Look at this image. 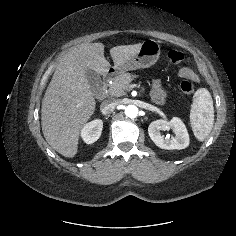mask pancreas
<instances>
[{
	"instance_id": "cf45deb5",
	"label": "pancreas",
	"mask_w": 236,
	"mask_h": 236,
	"mask_svg": "<svg viewBox=\"0 0 236 236\" xmlns=\"http://www.w3.org/2000/svg\"><path fill=\"white\" fill-rule=\"evenodd\" d=\"M137 77L134 74L131 73H121L118 76H116L112 82V84L109 85L108 93L110 96H124L126 95V90L130 89V83L132 81V78Z\"/></svg>"
}]
</instances>
